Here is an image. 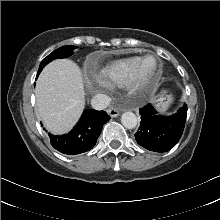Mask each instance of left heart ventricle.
I'll list each match as a JSON object with an SVG mask.
<instances>
[{
    "label": "left heart ventricle",
    "mask_w": 220,
    "mask_h": 220,
    "mask_svg": "<svg viewBox=\"0 0 220 220\" xmlns=\"http://www.w3.org/2000/svg\"><path fill=\"white\" fill-rule=\"evenodd\" d=\"M142 69L145 73H150L155 69V61L152 58L145 60Z\"/></svg>",
    "instance_id": "1"
}]
</instances>
